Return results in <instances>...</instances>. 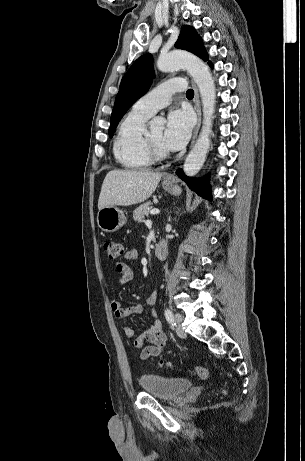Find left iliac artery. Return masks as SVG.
Listing matches in <instances>:
<instances>
[{
	"instance_id": "1",
	"label": "left iliac artery",
	"mask_w": 305,
	"mask_h": 461,
	"mask_svg": "<svg viewBox=\"0 0 305 461\" xmlns=\"http://www.w3.org/2000/svg\"><path fill=\"white\" fill-rule=\"evenodd\" d=\"M164 314H165L166 320H167L169 323L175 325V323H174V318H173V314H172L171 310H170V309H166Z\"/></svg>"
}]
</instances>
